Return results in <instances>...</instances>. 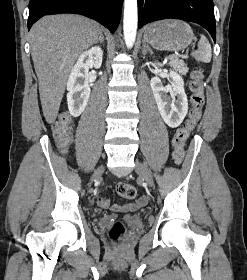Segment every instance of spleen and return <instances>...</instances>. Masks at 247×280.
Here are the masks:
<instances>
[{
    "instance_id": "3e777b00",
    "label": "spleen",
    "mask_w": 247,
    "mask_h": 280,
    "mask_svg": "<svg viewBox=\"0 0 247 280\" xmlns=\"http://www.w3.org/2000/svg\"><path fill=\"white\" fill-rule=\"evenodd\" d=\"M195 60L209 63L212 57L211 45L204 35H201L198 42V49L193 53Z\"/></svg>"
}]
</instances>
